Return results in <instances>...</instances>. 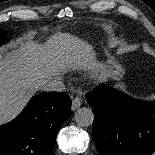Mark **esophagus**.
Here are the masks:
<instances>
[{"mask_svg":"<svg viewBox=\"0 0 155 155\" xmlns=\"http://www.w3.org/2000/svg\"><path fill=\"white\" fill-rule=\"evenodd\" d=\"M82 104V98L80 96H76L72 100L71 110L75 111L78 109Z\"/></svg>","mask_w":155,"mask_h":155,"instance_id":"1","label":"esophagus"}]
</instances>
